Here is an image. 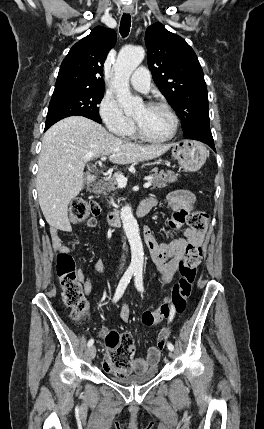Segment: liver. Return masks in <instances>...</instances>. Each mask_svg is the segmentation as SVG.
<instances>
[{
    "label": "liver",
    "mask_w": 264,
    "mask_h": 429,
    "mask_svg": "<svg viewBox=\"0 0 264 429\" xmlns=\"http://www.w3.org/2000/svg\"><path fill=\"white\" fill-rule=\"evenodd\" d=\"M171 146L127 142L82 116L57 122L43 136L38 162L36 188L46 221L55 229L72 230L68 205L84 187L87 162L106 155L115 164L148 161L158 158Z\"/></svg>",
    "instance_id": "liver-1"
}]
</instances>
